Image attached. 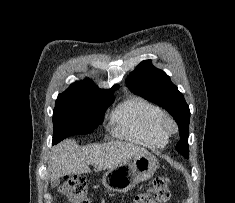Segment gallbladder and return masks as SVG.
I'll return each instance as SVG.
<instances>
[{
	"mask_svg": "<svg viewBox=\"0 0 235 203\" xmlns=\"http://www.w3.org/2000/svg\"><path fill=\"white\" fill-rule=\"evenodd\" d=\"M59 184V180L52 181V186H57Z\"/></svg>",
	"mask_w": 235,
	"mask_h": 203,
	"instance_id": "gallbladder-1",
	"label": "gallbladder"
}]
</instances>
